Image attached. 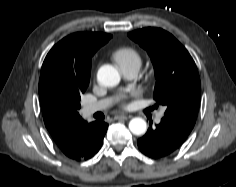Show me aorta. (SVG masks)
<instances>
[{
  "label": "aorta",
  "mask_w": 236,
  "mask_h": 187,
  "mask_svg": "<svg viewBox=\"0 0 236 187\" xmlns=\"http://www.w3.org/2000/svg\"><path fill=\"white\" fill-rule=\"evenodd\" d=\"M120 79L119 72L112 65H103L98 70L97 80L102 86H117ZM129 129L134 135H142L147 130V124L144 119L136 117L129 122Z\"/></svg>",
  "instance_id": "1"
}]
</instances>
